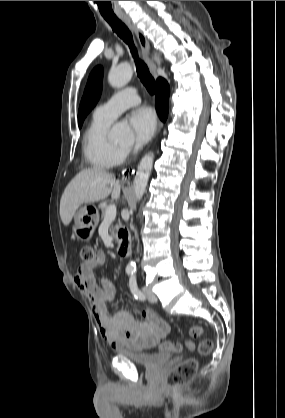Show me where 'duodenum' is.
Listing matches in <instances>:
<instances>
[{
    "mask_svg": "<svg viewBox=\"0 0 285 418\" xmlns=\"http://www.w3.org/2000/svg\"><path fill=\"white\" fill-rule=\"evenodd\" d=\"M130 251H131L130 241L127 238L122 237V241H121V243L119 244V247H118L119 256L127 257V256L130 255Z\"/></svg>",
    "mask_w": 285,
    "mask_h": 418,
    "instance_id": "duodenum-1",
    "label": "duodenum"
}]
</instances>
